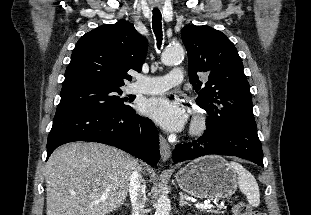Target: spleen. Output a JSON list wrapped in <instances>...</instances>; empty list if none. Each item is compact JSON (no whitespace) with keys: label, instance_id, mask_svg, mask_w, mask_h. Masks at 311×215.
I'll list each match as a JSON object with an SVG mask.
<instances>
[{"label":"spleen","instance_id":"1","mask_svg":"<svg viewBox=\"0 0 311 215\" xmlns=\"http://www.w3.org/2000/svg\"><path fill=\"white\" fill-rule=\"evenodd\" d=\"M229 165L237 174L241 192L246 195L251 206L257 207L260 204V192L255 177L237 162H230Z\"/></svg>","mask_w":311,"mask_h":215}]
</instances>
